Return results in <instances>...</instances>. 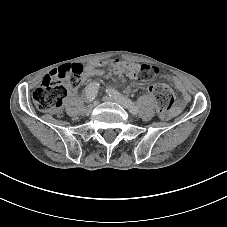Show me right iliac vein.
<instances>
[{
  "label": "right iliac vein",
  "mask_w": 227,
  "mask_h": 227,
  "mask_svg": "<svg viewBox=\"0 0 227 227\" xmlns=\"http://www.w3.org/2000/svg\"><path fill=\"white\" fill-rule=\"evenodd\" d=\"M98 104L97 101H94L93 103L89 104L86 108V112H91L93 110V108Z\"/></svg>",
  "instance_id": "right-iliac-vein-1"
}]
</instances>
